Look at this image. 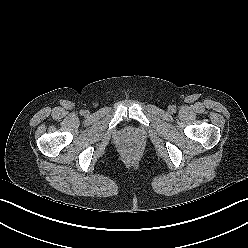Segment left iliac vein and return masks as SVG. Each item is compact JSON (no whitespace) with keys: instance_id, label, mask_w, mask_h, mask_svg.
Wrapping results in <instances>:
<instances>
[{"instance_id":"left-iliac-vein-1","label":"left iliac vein","mask_w":248,"mask_h":248,"mask_svg":"<svg viewBox=\"0 0 248 248\" xmlns=\"http://www.w3.org/2000/svg\"><path fill=\"white\" fill-rule=\"evenodd\" d=\"M169 110L171 111L172 110V107H169Z\"/></svg>"}]
</instances>
